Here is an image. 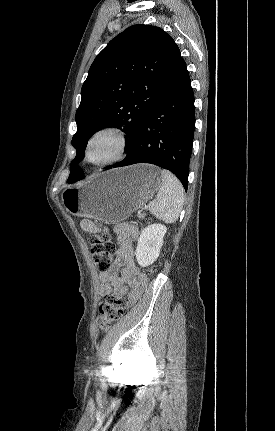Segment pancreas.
<instances>
[{
  "instance_id": "pancreas-1",
  "label": "pancreas",
  "mask_w": 275,
  "mask_h": 431,
  "mask_svg": "<svg viewBox=\"0 0 275 431\" xmlns=\"http://www.w3.org/2000/svg\"><path fill=\"white\" fill-rule=\"evenodd\" d=\"M145 215L144 214H140V215H138V217H144Z\"/></svg>"
}]
</instances>
